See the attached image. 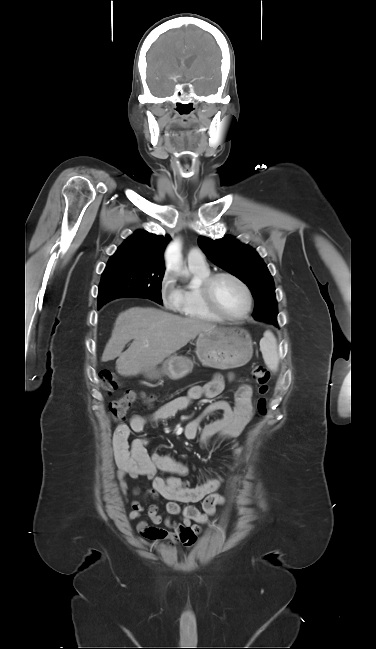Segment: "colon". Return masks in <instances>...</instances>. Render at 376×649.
Masks as SVG:
<instances>
[{
    "mask_svg": "<svg viewBox=\"0 0 376 649\" xmlns=\"http://www.w3.org/2000/svg\"><path fill=\"white\" fill-rule=\"evenodd\" d=\"M253 378L258 385V393L260 398L258 400V411L261 415L267 413L266 395L269 391L270 372L263 365H256L252 370ZM101 382L103 389L111 392L116 390L119 386V380L115 372L111 370H104L101 372ZM138 394L134 390H125L123 395L114 400L109 406V415L113 419H122L125 417L128 410L137 400Z\"/></svg>",
    "mask_w": 376,
    "mask_h": 649,
    "instance_id": "colon-1",
    "label": "colon"
}]
</instances>
